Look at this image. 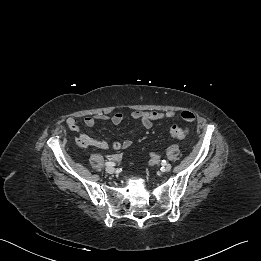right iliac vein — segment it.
I'll return each instance as SVG.
<instances>
[{"label":"right iliac vein","instance_id":"1","mask_svg":"<svg viewBox=\"0 0 261 261\" xmlns=\"http://www.w3.org/2000/svg\"><path fill=\"white\" fill-rule=\"evenodd\" d=\"M114 171H115V169H114V167H112V166H108V167L106 168V172L109 173V174L114 173Z\"/></svg>","mask_w":261,"mask_h":261}]
</instances>
